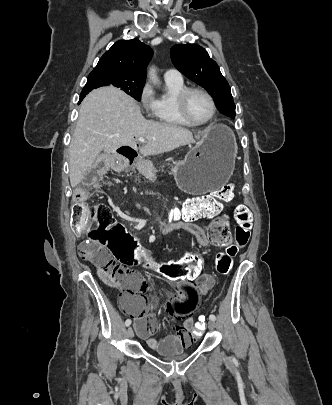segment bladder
Returning a JSON list of instances; mask_svg holds the SVG:
<instances>
[{"label": "bladder", "mask_w": 332, "mask_h": 405, "mask_svg": "<svg viewBox=\"0 0 332 405\" xmlns=\"http://www.w3.org/2000/svg\"><path fill=\"white\" fill-rule=\"evenodd\" d=\"M155 353L158 354L160 357L167 359V360L181 359L187 355L182 350H177V351L156 350Z\"/></svg>", "instance_id": "obj_1"}]
</instances>
